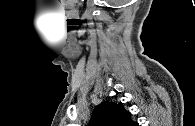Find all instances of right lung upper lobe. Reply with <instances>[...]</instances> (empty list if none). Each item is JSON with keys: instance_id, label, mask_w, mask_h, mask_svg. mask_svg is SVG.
Wrapping results in <instances>:
<instances>
[{"instance_id": "cb5924a9", "label": "right lung upper lobe", "mask_w": 195, "mask_h": 126, "mask_svg": "<svg viewBox=\"0 0 195 126\" xmlns=\"http://www.w3.org/2000/svg\"><path fill=\"white\" fill-rule=\"evenodd\" d=\"M89 126H138V123L131 120V113L122 103L106 101L95 107Z\"/></svg>"}]
</instances>
